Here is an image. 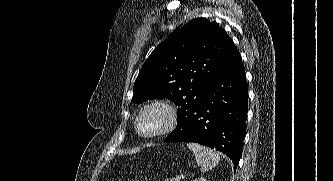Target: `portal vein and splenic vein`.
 Segmentation results:
<instances>
[{"instance_id":"obj_1","label":"portal vein and splenic vein","mask_w":333,"mask_h":181,"mask_svg":"<svg viewBox=\"0 0 333 181\" xmlns=\"http://www.w3.org/2000/svg\"><path fill=\"white\" fill-rule=\"evenodd\" d=\"M181 180V177L177 176L175 181H180Z\"/></svg>"}]
</instances>
